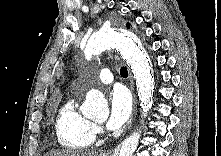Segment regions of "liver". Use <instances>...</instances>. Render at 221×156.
I'll use <instances>...</instances> for the list:
<instances>
[{
	"label": "liver",
	"instance_id": "obj_1",
	"mask_svg": "<svg viewBox=\"0 0 221 156\" xmlns=\"http://www.w3.org/2000/svg\"><path fill=\"white\" fill-rule=\"evenodd\" d=\"M44 156H98L95 150H74V149H62L52 150L46 153Z\"/></svg>",
	"mask_w": 221,
	"mask_h": 156
}]
</instances>
